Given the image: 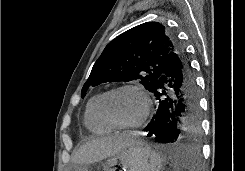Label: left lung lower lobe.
Segmentation results:
<instances>
[{
    "mask_svg": "<svg viewBox=\"0 0 245 171\" xmlns=\"http://www.w3.org/2000/svg\"><path fill=\"white\" fill-rule=\"evenodd\" d=\"M162 75L151 91L157 101L156 113L145 131L160 143H179L199 121V95L196 79L182 46L166 58ZM182 167H197L195 147L175 151Z\"/></svg>",
    "mask_w": 245,
    "mask_h": 171,
    "instance_id": "1",
    "label": "left lung lower lobe"
}]
</instances>
